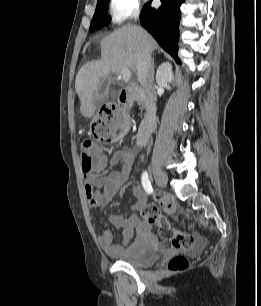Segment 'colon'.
I'll return each instance as SVG.
<instances>
[{
    "label": "colon",
    "instance_id": "colon-1",
    "mask_svg": "<svg viewBox=\"0 0 261 306\" xmlns=\"http://www.w3.org/2000/svg\"><path fill=\"white\" fill-rule=\"evenodd\" d=\"M107 109L111 117L115 118V122L109 124L101 118L96 120L92 128L94 140L107 142L112 139H120L125 132L126 121L124 115L114 105H109ZM79 151L83 171H91L99 165L102 154L97 155L93 151L91 141H84L80 145ZM161 208L167 212H172L174 203L169 199H158L156 202L147 204L141 209V217L143 220L158 227L160 238L169 242L173 250H191L195 246L194 237L188 233L173 229L167 218L162 214ZM166 268L170 272H181L189 268V262L184 256L176 255L168 261Z\"/></svg>",
    "mask_w": 261,
    "mask_h": 306
}]
</instances>
